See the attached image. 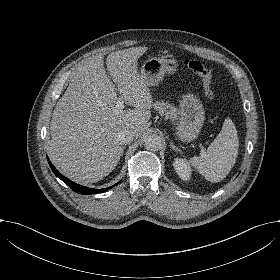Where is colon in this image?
<instances>
[{"label": "colon", "mask_w": 280, "mask_h": 280, "mask_svg": "<svg viewBox=\"0 0 280 280\" xmlns=\"http://www.w3.org/2000/svg\"><path fill=\"white\" fill-rule=\"evenodd\" d=\"M183 64L193 73L199 75L202 78L206 96L212 98L213 76L211 72L208 70V68L199 60L192 59V58L185 60Z\"/></svg>", "instance_id": "5ec220e1"}]
</instances>
